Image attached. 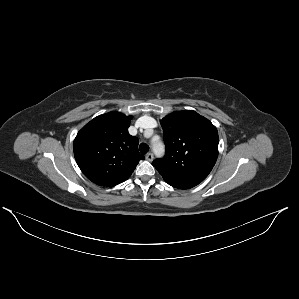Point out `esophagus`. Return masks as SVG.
Masks as SVG:
<instances>
[{
	"mask_svg": "<svg viewBox=\"0 0 299 299\" xmlns=\"http://www.w3.org/2000/svg\"><path fill=\"white\" fill-rule=\"evenodd\" d=\"M153 158H154V155H153L152 153H148V154L146 155V160H148V161H152Z\"/></svg>",
	"mask_w": 299,
	"mask_h": 299,
	"instance_id": "34e87169",
	"label": "esophagus"
}]
</instances>
